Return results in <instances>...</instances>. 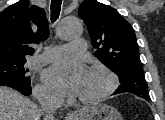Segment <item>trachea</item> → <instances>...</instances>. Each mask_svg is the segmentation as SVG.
<instances>
[{"label": "trachea", "mask_w": 165, "mask_h": 120, "mask_svg": "<svg viewBox=\"0 0 165 120\" xmlns=\"http://www.w3.org/2000/svg\"><path fill=\"white\" fill-rule=\"evenodd\" d=\"M62 0H51V21L55 22L61 11Z\"/></svg>", "instance_id": "3493384b"}]
</instances>
